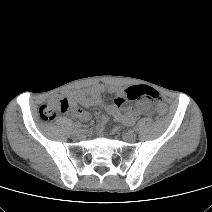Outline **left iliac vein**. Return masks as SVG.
<instances>
[{"mask_svg":"<svg viewBox=\"0 0 212 212\" xmlns=\"http://www.w3.org/2000/svg\"><path fill=\"white\" fill-rule=\"evenodd\" d=\"M136 134L133 131H128L123 134V139L127 142H133L136 140Z\"/></svg>","mask_w":212,"mask_h":212,"instance_id":"left-iliac-vein-1","label":"left iliac vein"}]
</instances>
